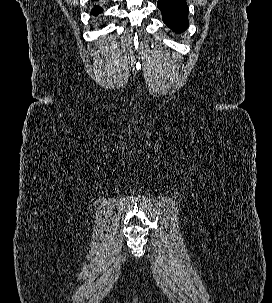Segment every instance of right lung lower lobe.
Returning <instances> with one entry per match:
<instances>
[{"label":"right lung lower lobe","mask_w":272,"mask_h":303,"mask_svg":"<svg viewBox=\"0 0 272 303\" xmlns=\"http://www.w3.org/2000/svg\"><path fill=\"white\" fill-rule=\"evenodd\" d=\"M102 12V8L101 7H98V6H95L92 10H91V13L93 14V15H98L99 13H101Z\"/></svg>","instance_id":"obj_1"}]
</instances>
